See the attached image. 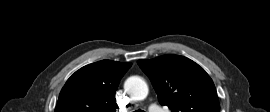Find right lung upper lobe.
Returning a JSON list of instances; mask_svg holds the SVG:
<instances>
[{
    "instance_id": "obj_1",
    "label": "right lung upper lobe",
    "mask_w": 270,
    "mask_h": 112,
    "mask_svg": "<svg viewBox=\"0 0 270 112\" xmlns=\"http://www.w3.org/2000/svg\"><path fill=\"white\" fill-rule=\"evenodd\" d=\"M130 67L111 60L82 67L62 88L55 112H116L115 93Z\"/></svg>"
}]
</instances>
